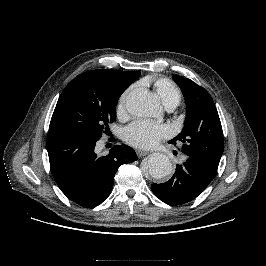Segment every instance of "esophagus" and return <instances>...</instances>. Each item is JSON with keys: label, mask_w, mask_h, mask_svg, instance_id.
Masks as SVG:
<instances>
[{"label": "esophagus", "mask_w": 266, "mask_h": 266, "mask_svg": "<svg viewBox=\"0 0 266 266\" xmlns=\"http://www.w3.org/2000/svg\"><path fill=\"white\" fill-rule=\"evenodd\" d=\"M136 154H137V156H138L139 158H141V157L146 156V155L148 154V152H147V151H143V150H139V149H137V150H136Z\"/></svg>", "instance_id": "1"}]
</instances>
